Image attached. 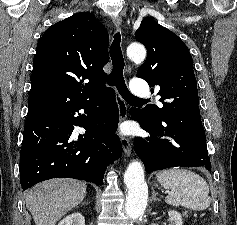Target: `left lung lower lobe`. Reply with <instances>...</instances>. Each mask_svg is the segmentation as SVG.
Segmentation results:
<instances>
[{
	"mask_svg": "<svg viewBox=\"0 0 237 225\" xmlns=\"http://www.w3.org/2000/svg\"><path fill=\"white\" fill-rule=\"evenodd\" d=\"M130 114L150 134L148 138L134 140L135 152L147 172L177 166H204L211 171L198 105L156 121L149 119L142 109L132 108Z\"/></svg>",
	"mask_w": 237,
	"mask_h": 225,
	"instance_id": "0a47b994",
	"label": "left lung lower lobe"
}]
</instances>
